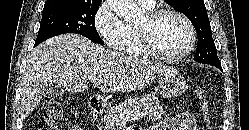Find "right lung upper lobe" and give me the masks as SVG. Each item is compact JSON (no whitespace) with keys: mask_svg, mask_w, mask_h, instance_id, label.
I'll return each mask as SVG.
<instances>
[{"mask_svg":"<svg viewBox=\"0 0 249 130\" xmlns=\"http://www.w3.org/2000/svg\"><path fill=\"white\" fill-rule=\"evenodd\" d=\"M57 1H63V0H47L46 4H51ZM65 1H74V2H83V3H101L102 0H65Z\"/></svg>","mask_w":249,"mask_h":130,"instance_id":"cb5924a9","label":"right lung upper lobe"}]
</instances>
